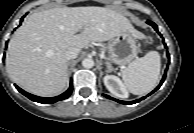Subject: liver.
<instances>
[{"label": "liver", "instance_id": "liver-1", "mask_svg": "<svg viewBox=\"0 0 194 133\" xmlns=\"http://www.w3.org/2000/svg\"><path fill=\"white\" fill-rule=\"evenodd\" d=\"M125 31L139 39L144 37L125 16L104 7H64L35 12L9 42L8 74L32 94L57 95L68 82L65 59L68 48L81 50L91 41H108Z\"/></svg>", "mask_w": 194, "mask_h": 133}]
</instances>
